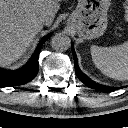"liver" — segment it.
<instances>
[{
  "mask_svg": "<svg viewBox=\"0 0 128 128\" xmlns=\"http://www.w3.org/2000/svg\"><path fill=\"white\" fill-rule=\"evenodd\" d=\"M62 0H0V66L17 61L43 28L39 20L42 11L50 26Z\"/></svg>",
  "mask_w": 128,
  "mask_h": 128,
  "instance_id": "liver-1",
  "label": "liver"
}]
</instances>
